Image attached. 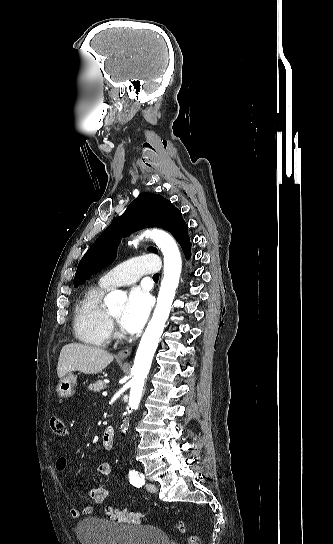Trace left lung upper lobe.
Masks as SVG:
<instances>
[{"instance_id":"left-lung-upper-lobe-1","label":"left lung upper lobe","mask_w":333,"mask_h":544,"mask_svg":"<svg viewBox=\"0 0 333 544\" xmlns=\"http://www.w3.org/2000/svg\"><path fill=\"white\" fill-rule=\"evenodd\" d=\"M146 227H159L169 231L179 242L184 253L190 250L187 225L181 212L161 195L141 193L122 216L114 218L110 226L88 249L78 265L74 286L78 287L85 279L113 262L121 236H127ZM148 250L157 252L153 247Z\"/></svg>"}]
</instances>
